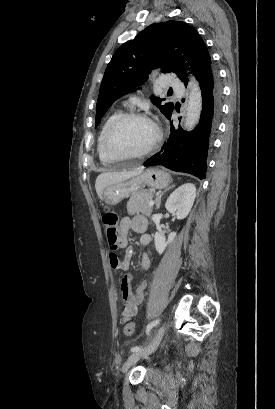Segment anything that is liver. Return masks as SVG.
<instances>
[{
    "label": "liver",
    "mask_w": 275,
    "mask_h": 409,
    "mask_svg": "<svg viewBox=\"0 0 275 409\" xmlns=\"http://www.w3.org/2000/svg\"><path fill=\"white\" fill-rule=\"evenodd\" d=\"M144 166L134 168V170H127V172H101L95 180V188L99 198H103V190L105 186L109 184H115V182H121V180H127L131 176H137L141 174Z\"/></svg>",
    "instance_id": "1"
}]
</instances>
